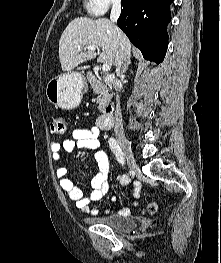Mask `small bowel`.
Segmentation results:
<instances>
[{
    "label": "small bowel",
    "mask_w": 221,
    "mask_h": 263,
    "mask_svg": "<svg viewBox=\"0 0 221 263\" xmlns=\"http://www.w3.org/2000/svg\"><path fill=\"white\" fill-rule=\"evenodd\" d=\"M100 128L93 126L90 129H75L69 138L62 142H52L50 145L52 158L59 161L62 158L63 152H70L74 149H88L93 152L98 172L91 180V190L88 195H84L82 190L78 188L74 181L68 177V169L64 166L58 167L56 170V177L59 186L72 200L75 201L76 207L86 215H95L98 210L91 205L101 200L110 192V183L108 181V174L110 170V161L107 153L103 150L100 140ZM117 180L122 185L131 183V178L127 175H119ZM141 184L139 182L133 183V192L131 204L137 207L140 204ZM115 200V197L112 198ZM113 212L111 207L103 209L102 213L109 215ZM118 214L127 215L129 208L120 207Z\"/></svg>",
    "instance_id": "1"
}]
</instances>
